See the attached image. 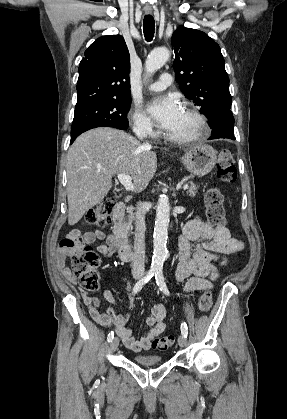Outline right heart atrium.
Masks as SVG:
<instances>
[{"label": "right heart atrium", "mask_w": 287, "mask_h": 419, "mask_svg": "<svg viewBox=\"0 0 287 419\" xmlns=\"http://www.w3.org/2000/svg\"><path fill=\"white\" fill-rule=\"evenodd\" d=\"M131 122L134 132L143 137H152L155 134L153 123L144 114V112L136 107L131 116Z\"/></svg>", "instance_id": "right-heart-atrium-1"}]
</instances>
